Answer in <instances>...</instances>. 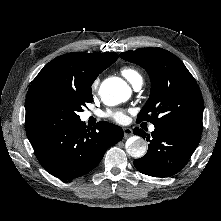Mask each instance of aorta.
I'll return each mask as SVG.
<instances>
[{
	"mask_svg": "<svg viewBox=\"0 0 221 221\" xmlns=\"http://www.w3.org/2000/svg\"><path fill=\"white\" fill-rule=\"evenodd\" d=\"M99 93L102 101L107 105H117L123 102L129 94L124 82L108 78L101 83ZM127 153L134 158H141L146 154V141L138 136L128 139L126 144Z\"/></svg>",
	"mask_w": 221,
	"mask_h": 221,
	"instance_id": "aorta-1",
	"label": "aorta"
}]
</instances>
